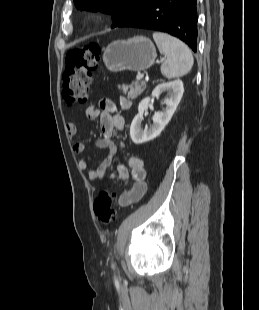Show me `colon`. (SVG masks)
I'll return each instance as SVG.
<instances>
[{
    "label": "colon",
    "mask_w": 259,
    "mask_h": 310,
    "mask_svg": "<svg viewBox=\"0 0 259 310\" xmlns=\"http://www.w3.org/2000/svg\"><path fill=\"white\" fill-rule=\"evenodd\" d=\"M101 51L99 44L90 43L67 53L63 84V97L67 103L82 104L88 100L92 73L99 66ZM114 199V194L107 190L94 199V213L104 224L115 220Z\"/></svg>",
    "instance_id": "5ec220e1"
}]
</instances>
